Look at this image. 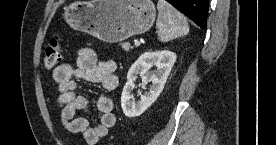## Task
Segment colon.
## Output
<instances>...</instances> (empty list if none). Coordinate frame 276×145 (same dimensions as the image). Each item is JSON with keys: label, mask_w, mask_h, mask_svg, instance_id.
<instances>
[{"label": "colon", "mask_w": 276, "mask_h": 145, "mask_svg": "<svg viewBox=\"0 0 276 145\" xmlns=\"http://www.w3.org/2000/svg\"><path fill=\"white\" fill-rule=\"evenodd\" d=\"M62 57L61 40L58 35L53 37L45 49L44 66L46 69L55 68Z\"/></svg>", "instance_id": "colon-1"}]
</instances>
